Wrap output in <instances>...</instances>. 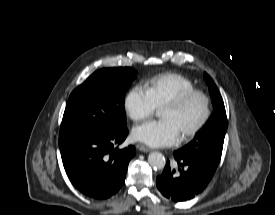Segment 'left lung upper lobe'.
<instances>
[{
    "mask_svg": "<svg viewBox=\"0 0 275 215\" xmlns=\"http://www.w3.org/2000/svg\"><path fill=\"white\" fill-rule=\"evenodd\" d=\"M204 77L209 86L214 112L194 139L177 151L183 156L218 166L228 121L222 97L215 83L207 73H204Z\"/></svg>",
    "mask_w": 275,
    "mask_h": 215,
    "instance_id": "left-lung-upper-lobe-1",
    "label": "left lung upper lobe"
}]
</instances>
